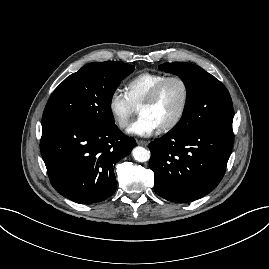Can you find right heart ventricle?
<instances>
[{
    "mask_svg": "<svg viewBox=\"0 0 269 269\" xmlns=\"http://www.w3.org/2000/svg\"><path fill=\"white\" fill-rule=\"evenodd\" d=\"M168 77L164 73L143 72L130 79L125 86V93L134 107H138L151 89Z\"/></svg>",
    "mask_w": 269,
    "mask_h": 269,
    "instance_id": "e07e8e85",
    "label": "right heart ventricle"
}]
</instances>
